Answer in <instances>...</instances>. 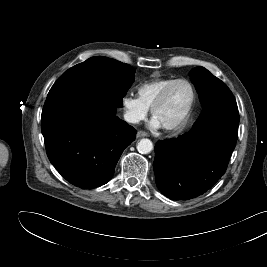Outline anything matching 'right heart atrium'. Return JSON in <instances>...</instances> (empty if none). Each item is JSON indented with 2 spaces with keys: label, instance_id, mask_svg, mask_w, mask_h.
<instances>
[{
  "label": "right heart atrium",
  "instance_id": "obj_1",
  "mask_svg": "<svg viewBox=\"0 0 267 267\" xmlns=\"http://www.w3.org/2000/svg\"><path fill=\"white\" fill-rule=\"evenodd\" d=\"M122 103L124 106L125 118L130 123H137L145 118L149 107L142 101V99L133 93H127Z\"/></svg>",
  "mask_w": 267,
  "mask_h": 267
}]
</instances>
